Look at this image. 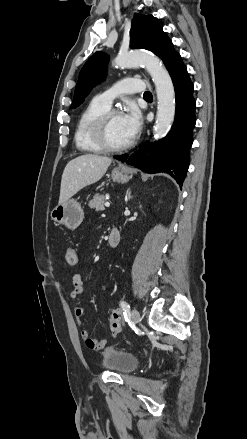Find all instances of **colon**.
<instances>
[{"label": "colon", "mask_w": 247, "mask_h": 439, "mask_svg": "<svg viewBox=\"0 0 247 439\" xmlns=\"http://www.w3.org/2000/svg\"><path fill=\"white\" fill-rule=\"evenodd\" d=\"M66 262L74 266L78 262V255L74 248H68L65 254ZM110 330L113 335H117L121 330V315L118 310L112 312L110 316Z\"/></svg>", "instance_id": "1"}]
</instances>
